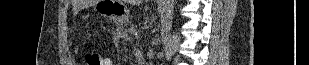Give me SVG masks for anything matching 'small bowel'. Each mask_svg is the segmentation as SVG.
<instances>
[{"label": "small bowel", "instance_id": "obj_1", "mask_svg": "<svg viewBox=\"0 0 309 65\" xmlns=\"http://www.w3.org/2000/svg\"><path fill=\"white\" fill-rule=\"evenodd\" d=\"M103 65H113V62L109 58H104V64Z\"/></svg>", "mask_w": 309, "mask_h": 65}]
</instances>
